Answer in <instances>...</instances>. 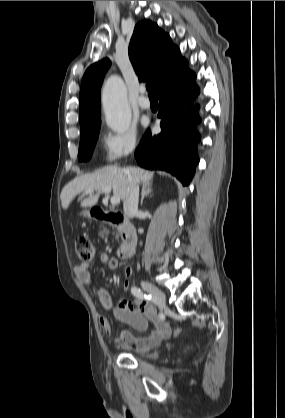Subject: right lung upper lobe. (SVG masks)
Returning <instances> with one entry per match:
<instances>
[{"label": "right lung upper lobe", "mask_w": 285, "mask_h": 418, "mask_svg": "<svg viewBox=\"0 0 285 418\" xmlns=\"http://www.w3.org/2000/svg\"><path fill=\"white\" fill-rule=\"evenodd\" d=\"M129 58L139 80L152 81L157 95L188 71L187 61L181 57L169 35L148 20L136 24ZM110 65V60L104 58L84 73L79 96L81 126L100 119V89Z\"/></svg>", "instance_id": "1"}]
</instances>
